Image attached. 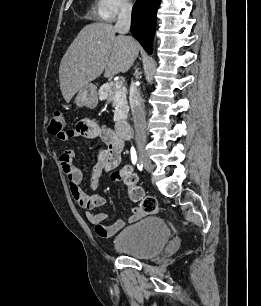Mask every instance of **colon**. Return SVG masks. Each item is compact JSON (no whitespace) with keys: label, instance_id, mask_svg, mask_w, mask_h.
<instances>
[{"label":"colon","instance_id":"5ec220e1","mask_svg":"<svg viewBox=\"0 0 261 306\" xmlns=\"http://www.w3.org/2000/svg\"><path fill=\"white\" fill-rule=\"evenodd\" d=\"M49 132L56 135L60 139L66 136L65 118L61 111H54L51 115L49 124ZM115 181L123 182L129 189V196L132 201L138 204V208L145 214H156L159 212V205L157 200L144 193L140 186L137 184V177L132 168L125 166L112 175Z\"/></svg>","mask_w":261,"mask_h":306}]
</instances>
